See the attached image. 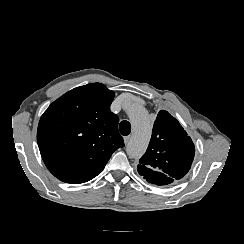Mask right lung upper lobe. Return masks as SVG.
<instances>
[{
    "mask_svg": "<svg viewBox=\"0 0 244 244\" xmlns=\"http://www.w3.org/2000/svg\"><path fill=\"white\" fill-rule=\"evenodd\" d=\"M114 96L103 84H87L61 96L42 115L39 150L59 180L80 184L93 179L112 153L124 146L119 118L110 111Z\"/></svg>",
    "mask_w": 244,
    "mask_h": 244,
    "instance_id": "cb5924a9",
    "label": "right lung upper lobe"
}]
</instances>
